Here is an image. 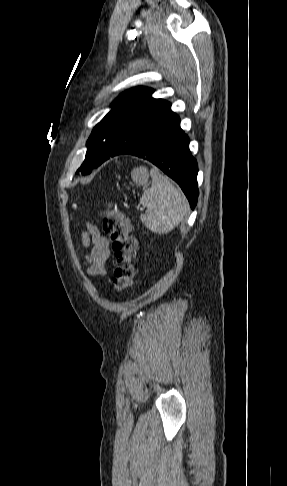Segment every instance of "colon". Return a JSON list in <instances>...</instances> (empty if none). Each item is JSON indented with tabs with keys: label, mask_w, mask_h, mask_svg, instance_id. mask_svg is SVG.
<instances>
[{
	"label": "colon",
	"mask_w": 287,
	"mask_h": 486,
	"mask_svg": "<svg viewBox=\"0 0 287 486\" xmlns=\"http://www.w3.org/2000/svg\"><path fill=\"white\" fill-rule=\"evenodd\" d=\"M102 227L112 241L115 266L111 278L115 290L127 289L134 278L133 260L136 254L137 242L131 235V226L127 218L120 212L107 210L102 215Z\"/></svg>",
	"instance_id": "5ec220e1"
}]
</instances>
